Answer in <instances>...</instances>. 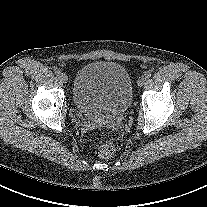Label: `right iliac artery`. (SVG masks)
<instances>
[{
  "label": "right iliac artery",
  "mask_w": 207,
  "mask_h": 207,
  "mask_svg": "<svg viewBox=\"0 0 207 207\" xmlns=\"http://www.w3.org/2000/svg\"><path fill=\"white\" fill-rule=\"evenodd\" d=\"M55 74L59 76L61 74V71L59 69H55Z\"/></svg>",
  "instance_id": "1"
}]
</instances>
